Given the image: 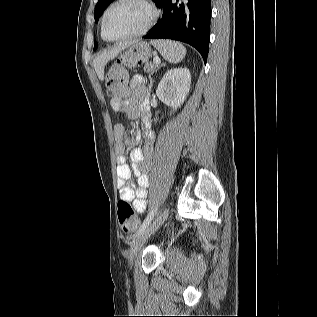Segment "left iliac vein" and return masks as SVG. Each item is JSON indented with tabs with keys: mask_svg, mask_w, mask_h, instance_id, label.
<instances>
[{
	"mask_svg": "<svg viewBox=\"0 0 317 317\" xmlns=\"http://www.w3.org/2000/svg\"><path fill=\"white\" fill-rule=\"evenodd\" d=\"M169 210H164L160 215H158L152 223H150L145 230L133 241L131 245V251L129 254V265L132 266L135 256L138 251L144 245V243L148 240V238L164 223L166 218L168 217Z\"/></svg>",
	"mask_w": 317,
	"mask_h": 317,
	"instance_id": "left-iliac-vein-1",
	"label": "left iliac vein"
}]
</instances>
